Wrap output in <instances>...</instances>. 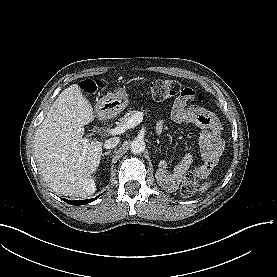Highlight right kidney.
<instances>
[{"instance_id":"obj_1","label":"right kidney","mask_w":277,"mask_h":277,"mask_svg":"<svg viewBox=\"0 0 277 277\" xmlns=\"http://www.w3.org/2000/svg\"><path fill=\"white\" fill-rule=\"evenodd\" d=\"M95 183H94V179L93 178H90V180L88 181V183H87V191L88 192H94L95 191Z\"/></svg>"}]
</instances>
